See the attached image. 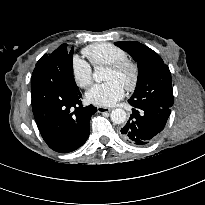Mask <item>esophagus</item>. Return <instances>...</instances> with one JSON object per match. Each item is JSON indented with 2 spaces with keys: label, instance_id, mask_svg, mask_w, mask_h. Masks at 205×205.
Segmentation results:
<instances>
[{
  "label": "esophagus",
  "instance_id": "1",
  "mask_svg": "<svg viewBox=\"0 0 205 205\" xmlns=\"http://www.w3.org/2000/svg\"><path fill=\"white\" fill-rule=\"evenodd\" d=\"M97 111H98L99 113H105V112H110L111 109H110V108H106V107H101V106H99V107H97Z\"/></svg>",
  "mask_w": 205,
  "mask_h": 205
}]
</instances>
